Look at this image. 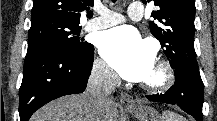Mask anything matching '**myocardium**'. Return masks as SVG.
Listing matches in <instances>:
<instances>
[{
  "label": "myocardium",
  "mask_w": 217,
  "mask_h": 121,
  "mask_svg": "<svg viewBox=\"0 0 217 121\" xmlns=\"http://www.w3.org/2000/svg\"><path fill=\"white\" fill-rule=\"evenodd\" d=\"M156 74L145 80L142 88L150 93H156L169 89L175 82V73L172 65L166 60H158L155 64Z\"/></svg>",
  "instance_id": "obj_1"
}]
</instances>
